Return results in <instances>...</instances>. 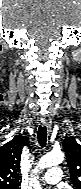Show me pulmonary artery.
<instances>
[{"instance_id": "pulmonary-artery-1", "label": "pulmonary artery", "mask_w": 81, "mask_h": 189, "mask_svg": "<svg viewBox=\"0 0 81 189\" xmlns=\"http://www.w3.org/2000/svg\"><path fill=\"white\" fill-rule=\"evenodd\" d=\"M62 178V171L60 168H51L45 172L42 181L47 184H57Z\"/></svg>"}]
</instances>
